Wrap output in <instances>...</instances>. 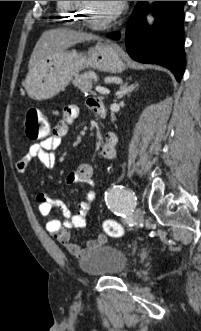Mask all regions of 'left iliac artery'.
<instances>
[{
	"label": "left iliac artery",
	"instance_id": "left-iliac-artery-1",
	"mask_svg": "<svg viewBox=\"0 0 201 331\" xmlns=\"http://www.w3.org/2000/svg\"><path fill=\"white\" fill-rule=\"evenodd\" d=\"M105 201L108 208L124 220H129L136 207L135 193L122 185H114L108 192H105Z\"/></svg>",
	"mask_w": 201,
	"mask_h": 331
}]
</instances>
